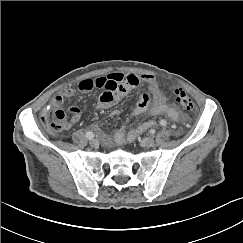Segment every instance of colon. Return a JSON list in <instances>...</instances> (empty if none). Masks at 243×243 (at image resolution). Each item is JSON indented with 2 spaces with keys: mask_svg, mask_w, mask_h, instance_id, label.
<instances>
[{
  "mask_svg": "<svg viewBox=\"0 0 243 243\" xmlns=\"http://www.w3.org/2000/svg\"><path fill=\"white\" fill-rule=\"evenodd\" d=\"M172 93L176 102L182 109L187 111H193L195 109V104L183 89L174 88ZM41 120L43 125L53 134L62 133L67 129L66 116L61 110L55 111L53 115H50V113L43 114Z\"/></svg>",
  "mask_w": 243,
  "mask_h": 243,
  "instance_id": "1",
  "label": "colon"
}]
</instances>
